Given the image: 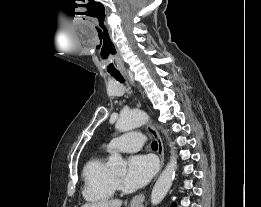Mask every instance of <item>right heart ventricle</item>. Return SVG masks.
<instances>
[{
	"label": "right heart ventricle",
	"instance_id": "right-heart-ventricle-1",
	"mask_svg": "<svg viewBox=\"0 0 261 207\" xmlns=\"http://www.w3.org/2000/svg\"><path fill=\"white\" fill-rule=\"evenodd\" d=\"M83 196L89 202L106 201L113 197L116 181L107 166L106 158L98 155L87 161L82 172Z\"/></svg>",
	"mask_w": 261,
	"mask_h": 207
}]
</instances>
